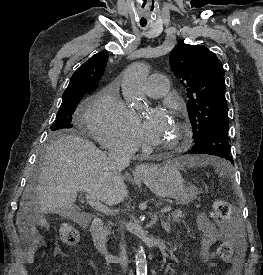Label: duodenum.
<instances>
[{
  "instance_id": "duodenum-1",
  "label": "duodenum",
  "mask_w": 263,
  "mask_h": 275,
  "mask_svg": "<svg viewBox=\"0 0 263 275\" xmlns=\"http://www.w3.org/2000/svg\"><path fill=\"white\" fill-rule=\"evenodd\" d=\"M90 233L94 247L103 256L107 263H117L121 260L120 255L111 253L107 248L104 234V222L101 218L96 217L93 219Z\"/></svg>"
}]
</instances>
